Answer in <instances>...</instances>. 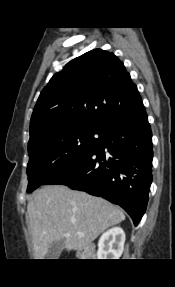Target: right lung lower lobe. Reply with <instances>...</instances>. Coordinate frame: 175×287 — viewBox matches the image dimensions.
I'll use <instances>...</instances> for the list:
<instances>
[{"instance_id": "98d812e1", "label": "right lung lower lobe", "mask_w": 175, "mask_h": 287, "mask_svg": "<svg viewBox=\"0 0 175 287\" xmlns=\"http://www.w3.org/2000/svg\"><path fill=\"white\" fill-rule=\"evenodd\" d=\"M99 141L80 162L46 184L103 197L138 225L152 181V132L143 103L101 126Z\"/></svg>"}]
</instances>
